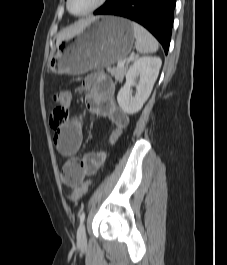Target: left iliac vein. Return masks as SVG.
Instances as JSON below:
<instances>
[{
    "label": "left iliac vein",
    "instance_id": "left-iliac-vein-1",
    "mask_svg": "<svg viewBox=\"0 0 227 265\" xmlns=\"http://www.w3.org/2000/svg\"><path fill=\"white\" fill-rule=\"evenodd\" d=\"M87 241L85 226L83 224L80 225L77 232V242L79 245H85Z\"/></svg>",
    "mask_w": 227,
    "mask_h": 265
}]
</instances>
